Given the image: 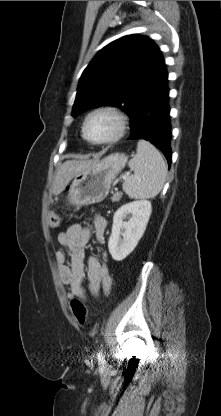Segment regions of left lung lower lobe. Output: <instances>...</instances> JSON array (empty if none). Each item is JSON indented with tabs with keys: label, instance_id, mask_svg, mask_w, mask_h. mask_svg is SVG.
Returning <instances> with one entry per match:
<instances>
[{
	"label": "left lung lower lobe",
	"instance_id": "0a47b994",
	"mask_svg": "<svg viewBox=\"0 0 221 416\" xmlns=\"http://www.w3.org/2000/svg\"><path fill=\"white\" fill-rule=\"evenodd\" d=\"M167 76L164 64L158 80L138 103L128 139H144L151 142L164 154L170 168L171 124Z\"/></svg>",
	"mask_w": 221,
	"mask_h": 416
}]
</instances>
